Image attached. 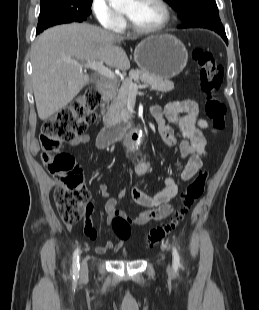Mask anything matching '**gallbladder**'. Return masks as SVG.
Returning <instances> with one entry per match:
<instances>
[{
	"mask_svg": "<svg viewBox=\"0 0 259 310\" xmlns=\"http://www.w3.org/2000/svg\"><path fill=\"white\" fill-rule=\"evenodd\" d=\"M91 81H94V77H91Z\"/></svg>",
	"mask_w": 259,
	"mask_h": 310,
	"instance_id": "1",
	"label": "gallbladder"
}]
</instances>
